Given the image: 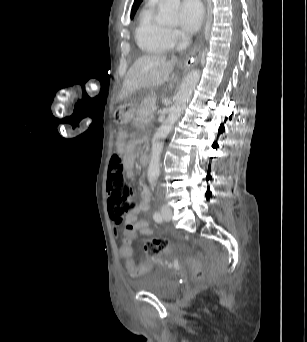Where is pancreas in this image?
I'll use <instances>...</instances> for the list:
<instances>
[{"instance_id": "1", "label": "pancreas", "mask_w": 307, "mask_h": 342, "mask_svg": "<svg viewBox=\"0 0 307 342\" xmlns=\"http://www.w3.org/2000/svg\"><path fill=\"white\" fill-rule=\"evenodd\" d=\"M153 107H156V100L154 96H149V98H144V100H141L137 110L140 119H147L148 114H152Z\"/></svg>"}]
</instances>
